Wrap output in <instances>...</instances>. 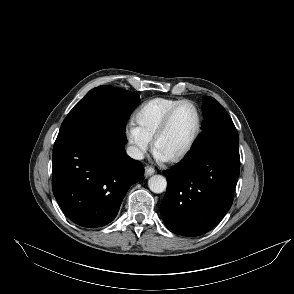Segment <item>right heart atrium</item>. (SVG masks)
Returning a JSON list of instances; mask_svg holds the SVG:
<instances>
[{
    "mask_svg": "<svg viewBox=\"0 0 294 294\" xmlns=\"http://www.w3.org/2000/svg\"><path fill=\"white\" fill-rule=\"evenodd\" d=\"M125 136L135 158H141L151 146V140L134 122L126 125Z\"/></svg>",
    "mask_w": 294,
    "mask_h": 294,
    "instance_id": "1",
    "label": "right heart atrium"
}]
</instances>
